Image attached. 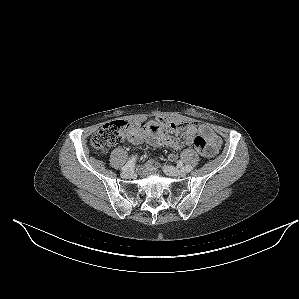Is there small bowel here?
Returning a JSON list of instances; mask_svg holds the SVG:
<instances>
[{
    "label": "small bowel",
    "instance_id": "1",
    "mask_svg": "<svg viewBox=\"0 0 299 299\" xmlns=\"http://www.w3.org/2000/svg\"><path fill=\"white\" fill-rule=\"evenodd\" d=\"M160 119L161 118L149 121L145 124L143 129H131L127 133L126 139L135 145H141L142 143L147 142L153 146L164 145L177 150L179 148L178 142L173 137L164 133ZM197 136H202L207 141L209 149L208 157L217 153L221 146L220 137L204 124H188L187 129L183 133L184 143L186 145H192ZM176 157V153H171L169 155V159L172 161H174ZM147 165L151 171L157 170V165L153 160H149Z\"/></svg>",
    "mask_w": 299,
    "mask_h": 299
}]
</instances>
